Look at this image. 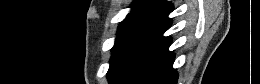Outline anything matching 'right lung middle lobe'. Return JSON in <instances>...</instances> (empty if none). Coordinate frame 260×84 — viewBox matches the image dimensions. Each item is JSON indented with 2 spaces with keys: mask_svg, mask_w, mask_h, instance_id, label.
Listing matches in <instances>:
<instances>
[{
  "mask_svg": "<svg viewBox=\"0 0 260 84\" xmlns=\"http://www.w3.org/2000/svg\"><path fill=\"white\" fill-rule=\"evenodd\" d=\"M168 28H131L119 33L108 72L111 84H132L169 46Z\"/></svg>",
  "mask_w": 260,
  "mask_h": 84,
  "instance_id": "dd1d6c3e",
  "label": "right lung middle lobe"
}]
</instances>
